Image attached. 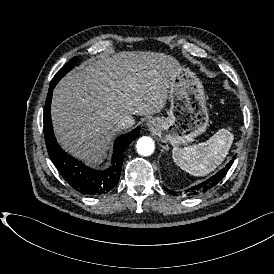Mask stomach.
<instances>
[{
    "instance_id": "stomach-1",
    "label": "stomach",
    "mask_w": 274,
    "mask_h": 274,
    "mask_svg": "<svg viewBox=\"0 0 274 274\" xmlns=\"http://www.w3.org/2000/svg\"><path fill=\"white\" fill-rule=\"evenodd\" d=\"M169 81L168 117H156L149 121L162 142L179 148L206 131L209 114L204 87L194 72L179 65Z\"/></svg>"
}]
</instances>
